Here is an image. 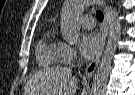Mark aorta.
I'll return each instance as SVG.
<instances>
[{"instance_id":"1","label":"aorta","mask_w":135,"mask_h":95,"mask_svg":"<svg viewBox=\"0 0 135 95\" xmlns=\"http://www.w3.org/2000/svg\"><path fill=\"white\" fill-rule=\"evenodd\" d=\"M101 2L103 0H66L61 14V33L62 37L68 43H75L80 37V25L77 21L79 14L89 4ZM104 5V3H103ZM109 35L106 48L100 64L96 70L91 95H104L108 80V74L111 69L113 56L117 49L118 41L121 37V23L118 18V13L109 6H106Z\"/></svg>"}]
</instances>
